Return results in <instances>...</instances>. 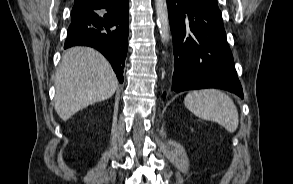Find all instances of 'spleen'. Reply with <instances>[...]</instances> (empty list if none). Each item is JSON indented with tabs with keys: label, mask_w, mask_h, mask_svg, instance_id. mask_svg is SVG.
I'll return each mask as SVG.
<instances>
[{
	"label": "spleen",
	"mask_w": 293,
	"mask_h": 184,
	"mask_svg": "<svg viewBox=\"0 0 293 184\" xmlns=\"http://www.w3.org/2000/svg\"><path fill=\"white\" fill-rule=\"evenodd\" d=\"M184 104L197 117L214 121L227 131H236L239 115L233 100L217 89H202L189 92Z\"/></svg>",
	"instance_id": "obj_1"
}]
</instances>
